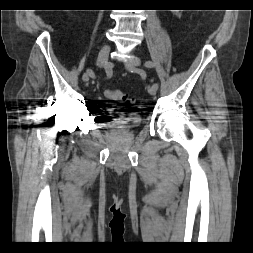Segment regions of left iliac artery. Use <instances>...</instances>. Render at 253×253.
I'll return each mask as SVG.
<instances>
[{"label": "left iliac artery", "mask_w": 253, "mask_h": 253, "mask_svg": "<svg viewBox=\"0 0 253 253\" xmlns=\"http://www.w3.org/2000/svg\"><path fill=\"white\" fill-rule=\"evenodd\" d=\"M144 66L147 68H153L154 64L152 61L148 60L144 63ZM158 89V83L153 84Z\"/></svg>", "instance_id": "left-iliac-artery-1"}]
</instances>
